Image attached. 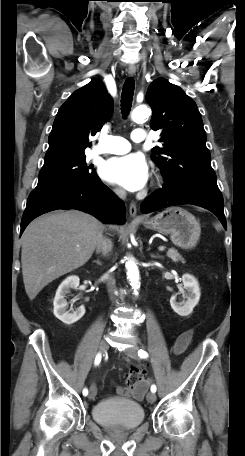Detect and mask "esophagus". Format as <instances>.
<instances>
[{"label":"esophagus","mask_w":245,"mask_h":456,"mask_svg":"<svg viewBox=\"0 0 245 456\" xmlns=\"http://www.w3.org/2000/svg\"><path fill=\"white\" fill-rule=\"evenodd\" d=\"M127 72L129 76L133 77L136 74V67L134 65L129 66ZM129 215L135 220L142 219V217L137 213V206L134 202L130 203Z\"/></svg>","instance_id":"obj_1"}]
</instances>
